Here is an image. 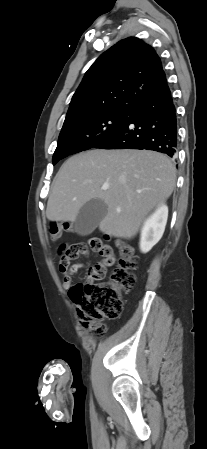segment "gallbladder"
<instances>
[{"label": "gallbladder", "instance_id": "gallbladder-1", "mask_svg": "<svg viewBox=\"0 0 207 449\" xmlns=\"http://www.w3.org/2000/svg\"><path fill=\"white\" fill-rule=\"evenodd\" d=\"M107 211V205L100 199L86 202L75 220L76 232L83 236L91 234L106 216Z\"/></svg>", "mask_w": 207, "mask_h": 449}]
</instances>
